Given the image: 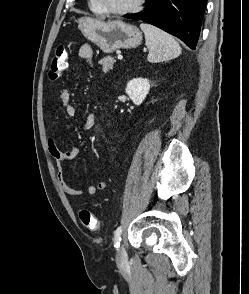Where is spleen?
<instances>
[{
    "instance_id": "3e777b00",
    "label": "spleen",
    "mask_w": 249,
    "mask_h": 294,
    "mask_svg": "<svg viewBox=\"0 0 249 294\" xmlns=\"http://www.w3.org/2000/svg\"><path fill=\"white\" fill-rule=\"evenodd\" d=\"M140 28L144 32L146 46L149 49L147 56L149 62L167 61L181 54L178 42L168 33L147 23H141Z\"/></svg>"
}]
</instances>
